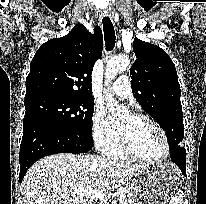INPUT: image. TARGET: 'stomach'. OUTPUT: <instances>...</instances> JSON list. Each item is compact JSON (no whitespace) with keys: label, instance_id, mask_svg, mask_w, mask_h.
<instances>
[{"label":"stomach","instance_id":"0dacf381","mask_svg":"<svg viewBox=\"0 0 206 204\" xmlns=\"http://www.w3.org/2000/svg\"><path fill=\"white\" fill-rule=\"evenodd\" d=\"M181 185V174L170 163L142 166L129 181L132 204H167Z\"/></svg>","mask_w":206,"mask_h":204}]
</instances>
